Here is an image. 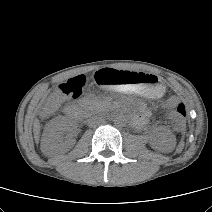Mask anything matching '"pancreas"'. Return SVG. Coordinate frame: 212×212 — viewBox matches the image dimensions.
I'll list each match as a JSON object with an SVG mask.
<instances>
[{"instance_id": "1", "label": "pancreas", "mask_w": 212, "mask_h": 212, "mask_svg": "<svg viewBox=\"0 0 212 212\" xmlns=\"http://www.w3.org/2000/svg\"><path fill=\"white\" fill-rule=\"evenodd\" d=\"M83 105L87 110H93L101 105V101L98 98H86L83 100Z\"/></svg>"}]
</instances>
